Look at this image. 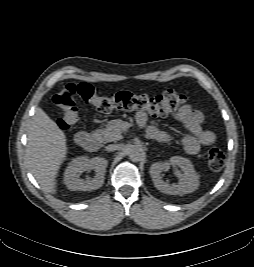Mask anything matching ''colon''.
<instances>
[{
    "mask_svg": "<svg viewBox=\"0 0 254 267\" xmlns=\"http://www.w3.org/2000/svg\"><path fill=\"white\" fill-rule=\"evenodd\" d=\"M77 100L94 106L100 112L119 110L145 111L153 116H166L184 106L186 97L173 89H166L156 96L141 95L130 91H119L110 97L100 96L88 83L65 85L55 96V104L62 110L57 125L62 130L70 129L78 121ZM208 165L213 171H220L226 162L224 152L218 148L209 150Z\"/></svg>",
    "mask_w": 254,
    "mask_h": 267,
    "instance_id": "colon-1",
    "label": "colon"
}]
</instances>
